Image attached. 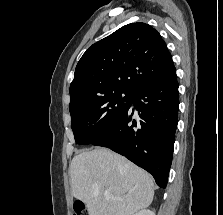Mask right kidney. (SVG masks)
Masks as SVG:
<instances>
[{
  "instance_id": "obj_1",
  "label": "right kidney",
  "mask_w": 223,
  "mask_h": 215,
  "mask_svg": "<svg viewBox=\"0 0 223 215\" xmlns=\"http://www.w3.org/2000/svg\"><path fill=\"white\" fill-rule=\"evenodd\" d=\"M133 215H155V211H151V209H140V211L133 213Z\"/></svg>"
}]
</instances>
